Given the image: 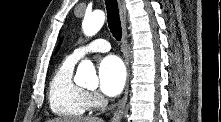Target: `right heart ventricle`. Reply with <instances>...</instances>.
<instances>
[{"instance_id": "right-heart-ventricle-1", "label": "right heart ventricle", "mask_w": 221, "mask_h": 122, "mask_svg": "<svg viewBox=\"0 0 221 122\" xmlns=\"http://www.w3.org/2000/svg\"><path fill=\"white\" fill-rule=\"evenodd\" d=\"M76 61L67 57L55 70L49 84L52 112L64 117H80L91 107L87 92L73 79Z\"/></svg>"}]
</instances>
